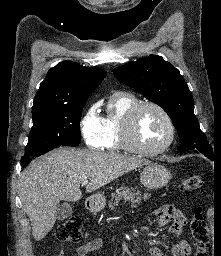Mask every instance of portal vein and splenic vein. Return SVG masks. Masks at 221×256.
<instances>
[{"mask_svg": "<svg viewBox=\"0 0 221 256\" xmlns=\"http://www.w3.org/2000/svg\"><path fill=\"white\" fill-rule=\"evenodd\" d=\"M87 184H88V180L87 179L82 181V185H87Z\"/></svg>", "mask_w": 221, "mask_h": 256, "instance_id": "1", "label": "portal vein and splenic vein"}]
</instances>
